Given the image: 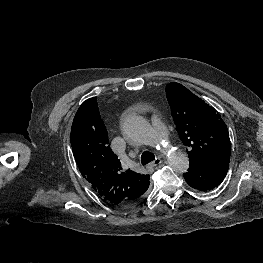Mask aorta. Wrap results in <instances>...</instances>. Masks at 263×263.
<instances>
[{
  "label": "aorta",
  "mask_w": 263,
  "mask_h": 263,
  "mask_svg": "<svg viewBox=\"0 0 263 263\" xmlns=\"http://www.w3.org/2000/svg\"><path fill=\"white\" fill-rule=\"evenodd\" d=\"M123 132L129 139L138 143L153 144L156 141L150 125L140 115L127 116L123 122ZM166 155L169 165L175 172H187L189 159L184 153L177 150H169L166 152Z\"/></svg>",
  "instance_id": "1"
}]
</instances>
